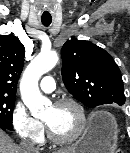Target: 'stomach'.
I'll use <instances>...</instances> for the list:
<instances>
[{"label":"stomach","mask_w":130,"mask_h":153,"mask_svg":"<svg viewBox=\"0 0 130 153\" xmlns=\"http://www.w3.org/2000/svg\"><path fill=\"white\" fill-rule=\"evenodd\" d=\"M118 127L115 118L100 112L76 143L73 153H112L117 144Z\"/></svg>","instance_id":"obj_1"}]
</instances>
